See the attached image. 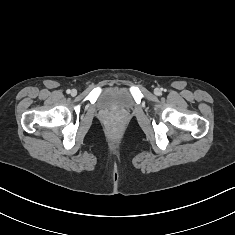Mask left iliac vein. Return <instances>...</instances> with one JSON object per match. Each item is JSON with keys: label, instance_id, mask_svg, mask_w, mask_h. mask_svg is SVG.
<instances>
[{"label": "left iliac vein", "instance_id": "4c4485c4", "mask_svg": "<svg viewBox=\"0 0 235 235\" xmlns=\"http://www.w3.org/2000/svg\"><path fill=\"white\" fill-rule=\"evenodd\" d=\"M154 93H155L156 95H160V94H161V90H160L159 88H156V89L154 90Z\"/></svg>", "mask_w": 235, "mask_h": 235}]
</instances>
